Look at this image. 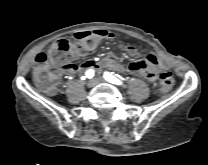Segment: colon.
I'll return each instance as SVG.
<instances>
[{
  "mask_svg": "<svg viewBox=\"0 0 208 165\" xmlns=\"http://www.w3.org/2000/svg\"><path fill=\"white\" fill-rule=\"evenodd\" d=\"M100 37L94 32H80L74 40L62 39L55 43L48 52H40L34 60L33 81L44 92L53 94L58 89L59 71L64 62H74L88 51L94 49ZM175 79L171 72H164L159 77V91L168 93Z\"/></svg>",
  "mask_w": 208,
  "mask_h": 165,
  "instance_id": "1",
  "label": "colon"
}]
</instances>
